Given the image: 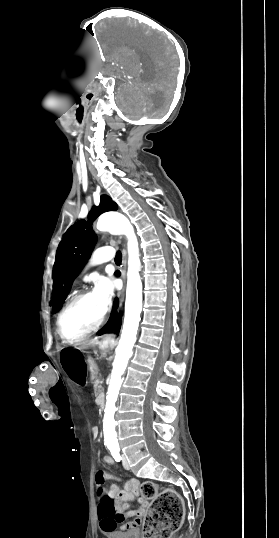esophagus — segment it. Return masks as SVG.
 I'll use <instances>...</instances> for the list:
<instances>
[{"instance_id":"obj_1","label":"esophagus","mask_w":279,"mask_h":538,"mask_svg":"<svg viewBox=\"0 0 279 538\" xmlns=\"http://www.w3.org/2000/svg\"><path fill=\"white\" fill-rule=\"evenodd\" d=\"M126 264H127V253H126V249L123 248V251H122V269H121V273H122L121 277H122V280H123V288L118 293V297L120 298V303L121 304H122V302L124 300ZM104 338L105 339H112V338H114V335L113 334H106V335H104Z\"/></svg>"}]
</instances>
